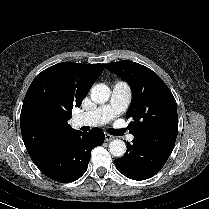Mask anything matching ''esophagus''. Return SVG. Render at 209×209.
Segmentation results:
<instances>
[{
	"label": "esophagus",
	"mask_w": 209,
	"mask_h": 209,
	"mask_svg": "<svg viewBox=\"0 0 209 209\" xmlns=\"http://www.w3.org/2000/svg\"><path fill=\"white\" fill-rule=\"evenodd\" d=\"M114 138H115V137L112 136V135H110V134H105V136H104V140H105L106 142L111 141V140H113Z\"/></svg>",
	"instance_id": "obj_1"
}]
</instances>
